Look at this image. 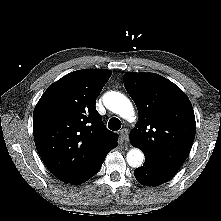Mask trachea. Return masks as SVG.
<instances>
[{"instance_id":"trachea-1","label":"trachea","mask_w":221,"mask_h":221,"mask_svg":"<svg viewBox=\"0 0 221 221\" xmlns=\"http://www.w3.org/2000/svg\"><path fill=\"white\" fill-rule=\"evenodd\" d=\"M108 128L112 131H118L121 128V121L118 118H111L108 122Z\"/></svg>"}]
</instances>
